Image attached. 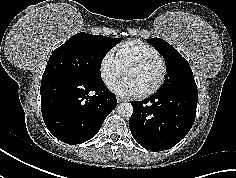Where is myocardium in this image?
<instances>
[{"instance_id":"1","label":"myocardium","mask_w":236,"mask_h":178,"mask_svg":"<svg viewBox=\"0 0 236 178\" xmlns=\"http://www.w3.org/2000/svg\"><path fill=\"white\" fill-rule=\"evenodd\" d=\"M153 63H159L162 67L160 78L158 79L157 83L153 87L147 89L146 91L142 93H139L140 97H148L154 94L155 92H157L163 86L167 78V74H168V66H167L166 61L161 57H150L143 60L132 61L124 69V75H125L131 69L146 67Z\"/></svg>"}]
</instances>
